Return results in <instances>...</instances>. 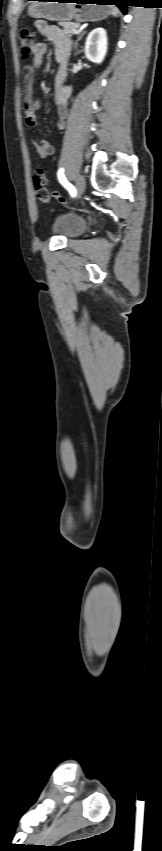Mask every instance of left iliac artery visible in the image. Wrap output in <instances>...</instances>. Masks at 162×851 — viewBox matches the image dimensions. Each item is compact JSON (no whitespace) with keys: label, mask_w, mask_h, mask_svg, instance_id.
Here are the masks:
<instances>
[{"label":"left iliac artery","mask_w":162,"mask_h":851,"mask_svg":"<svg viewBox=\"0 0 162 851\" xmlns=\"http://www.w3.org/2000/svg\"><path fill=\"white\" fill-rule=\"evenodd\" d=\"M58 179H59L60 183H61V184H62V185H63V186H64V187H65V188L69 191L70 195H71L72 197H75V196H76V190H75L74 186H73V185H71V184L67 181V179L65 178V175H64V169H63V168H61V169L58 171Z\"/></svg>","instance_id":"left-iliac-artery-1"}]
</instances>
